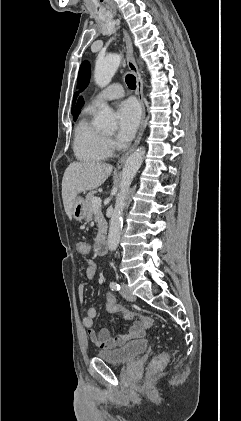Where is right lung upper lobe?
Instances as JSON below:
<instances>
[{"label":"right lung upper lobe","mask_w":241,"mask_h":421,"mask_svg":"<svg viewBox=\"0 0 241 421\" xmlns=\"http://www.w3.org/2000/svg\"><path fill=\"white\" fill-rule=\"evenodd\" d=\"M83 104H84L83 98H82V97H80V98L78 99V102H77V105H76V108H75L74 118H77V117H78V115H79V113H80V110H81V108H82Z\"/></svg>","instance_id":"1"}]
</instances>
